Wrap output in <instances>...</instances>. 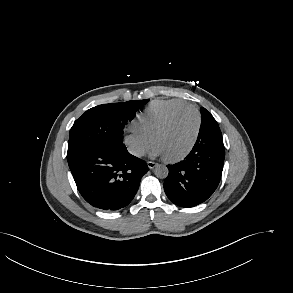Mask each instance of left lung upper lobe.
Wrapping results in <instances>:
<instances>
[{
	"label": "left lung upper lobe",
	"mask_w": 293,
	"mask_h": 293,
	"mask_svg": "<svg viewBox=\"0 0 293 293\" xmlns=\"http://www.w3.org/2000/svg\"><path fill=\"white\" fill-rule=\"evenodd\" d=\"M200 111H201L202 122L200 126L199 135L210 133V132L221 133L218 123L216 122L214 117L211 115V113L203 107L200 109Z\"/></svg>",
	"instance_id": "5c2ea615"
}]
</instances>
